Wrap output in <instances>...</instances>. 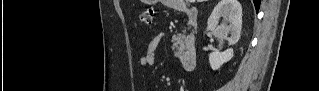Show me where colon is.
Here are the masks:
<instances>
[{
	"mask_svg": "<svg viewBox=\"0 0 319 91\" xmlns=\"http://www.w3.org/2000/svg\"><path fill=\"white\" fill-rule=\"evenodd\" d=\"M154 8L152 6L147 7L140 15L141 21L146 25H151L153 22Z\"/></svg>",
	"mask_w": 319,
	"mask_h": 91,
	"instance_id": "5ec220e1",
	"label": "colon"
}]
</instances>
